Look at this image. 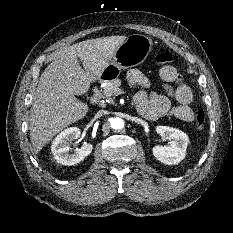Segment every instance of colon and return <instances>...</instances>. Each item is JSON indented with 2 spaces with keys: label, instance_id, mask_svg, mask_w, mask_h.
<instances>
[{
  "label": "colon",
  "instance_id": "colon-1",
  "mask_svg": "<svg viewBox=\"0 0 233 233\" xmlns=\"http://www.w3.org/2000/svg\"><path fill=\"white\" fill-rule=\"evenodd\" d=\"M173 57L169 52L159 53L156 56V62L160 65L159 75L162 81L167 85H174L180 79V74L172 65ZM195 125L197 129H202L206 123V114L204 111L196 113Z\"/></svg>",
  "mask_w": 233,
  "mask_h": 233
}]
</instances>
